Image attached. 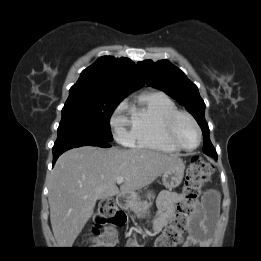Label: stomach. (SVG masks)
<instances>
[{
  "label": "stomach",
  "instance_id": "obj_1",
  "mask_svg": "<svg viewBox=\"0 0 261 261\" xmlns=\"http://www.w3.org/2000/svg\"><path fill=\"white\" fill-rule=\"evenodd\" d=\"M185 165L181 159H179L170 169L162 174L163 185L167 189H173L180 185L184 176ZM138 200L134 195L131 202Z\"/></svg>",
  "mask_w": 261,
  "mask_h": 261
}]
</instances>
